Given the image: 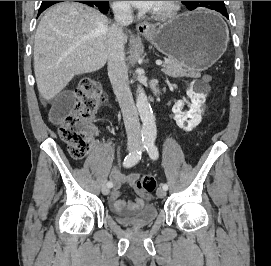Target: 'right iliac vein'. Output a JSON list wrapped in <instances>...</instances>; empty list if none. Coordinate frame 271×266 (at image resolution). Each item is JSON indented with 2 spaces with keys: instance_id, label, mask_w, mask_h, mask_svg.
Listing matches in <instances>:
<instances>
[{
  "instance_id": "obj_1",
  "label": "right iliac vein",
  "mask_w": 271,
  "mask_h": 266,
  "mask_svg": "<svg viewBox=\"0 0 271 266\" xmlns=\"http://www.w3.org/2000/svg\"><path fill=\"white\" fill-rule=\"evenodd\" d=\"M137 148V144L135 143H128L127 150H135ZM101 192L103 195H107L110 192V187L107 184H103L101 187Z\"/></svg>"
}]
</instances>
